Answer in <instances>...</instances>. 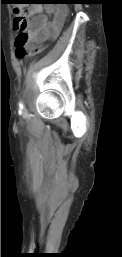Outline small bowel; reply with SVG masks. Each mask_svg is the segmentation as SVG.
I'll list each match as a JSON object with an SVG mask.
<instances>
[{
    "label": "small bowel",
    "instance_id": "1",
    "mask_svg": "<svg viewBox=\"0 0 122 257\" xmlns=\"http://www.w3.org/2000/svg\"><path fill=\"white\" fill-rule=\"evenodd\" d=\"M28 13L33 17L28 23L25 48L31 52L36 45L58 37L67 16V9L65 7L48 8L51 19L47 14L42 13L40 8H30Z\"/></svg>",
    "mask_w": 122,
    "mask_h": 257
}]
</instances>
